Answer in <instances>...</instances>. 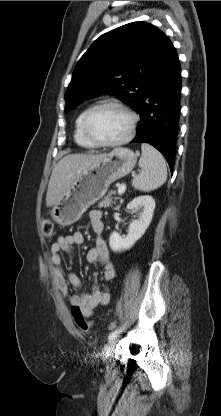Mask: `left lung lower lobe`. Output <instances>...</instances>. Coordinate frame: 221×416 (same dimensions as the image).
Here are the masks:
<instances>
[{"label": "left lung lower lobe", "instance_id": "0a47b994", "mask_svg": "<svg viewBox=\"0 0 221 416\" xmlns=\"http://www.w3.org/2000/svg\"><path fill=\"white\" fill-rule=\"evenodd\" d=\"M181 96V70L177 53L166 39L151 82L143 93L137 112L141 120L131 141L149 143L166 158L173 170L178 134Z\"/></svg>", "mask_w": 221, "mask_h": 416}]
</instances>
